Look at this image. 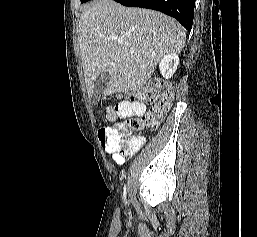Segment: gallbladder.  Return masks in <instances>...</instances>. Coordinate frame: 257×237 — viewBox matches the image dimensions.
Instances as JSON below:
<instances>
[{
    "label": "gallbladder",
    "mask_w": 257,
    "mask_h": 237,
    "mask_svg": "<svg viewBox=\"0 0 257 237\" xmlns=\"http://www.w3.org/2000/svg\"><path fill=\"white\" fill-rule=\"evenodd\" d=\"M110 80V75L108 72H101L93 85V93H92V99L93 101H96L100 94L102 93V91L104 90V88L107 86L108 82Z\"/></svg>",
    "instance_id": "obj_1"
}]
</instances>
